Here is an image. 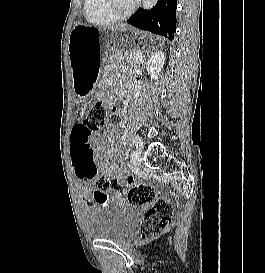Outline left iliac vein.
<instances>
[{
  "label": "left iliac vein",
  "mask_w": 265,
  "mask_h": 273,
  "mask_svg": "<svg viewBox=\"0 0 265 273\" xmlns=\"http://www.w3.org/2000/svg\"><path fill=\"white\" fill-rule=\"evenodd\" d=\"M135 138H137L140 142V146L139 148H141L143 146V139L140 136H135ZM131 162L133 165L135 166H139L142 162V156H141V152L138 149H135L132 151L131 153Z\"/></svg>",
  "instance_id": "4c4485c4"
}]
</instances>
